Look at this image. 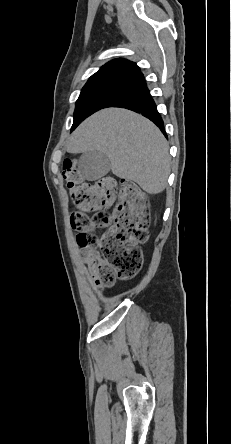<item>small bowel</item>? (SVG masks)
I'll return each instance as SVG.
<instances>
[{"instance_id": "c3829d8e", "label": "small bowel", "mask_w": 231, "mask_h": 444, "mask_svg": "<svg viewBox=\"0 0 231 444\" xmlns=\"http://www.w3.org/2000/svg\"><path fill=\"white\" fill-rule=\"evenodd\" d=\"M78 236V241H79ZM81 263L87 268V275L90 277L95 286L101 287L99 283V277L101 271L105 268V262L97 254L90 252L89 250H84L81 257Z\"/></svg>"}]
</instances>
